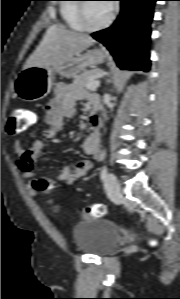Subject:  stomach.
Masks as SVG:
<instances>
[{
  "mask_svg": "<svg viewBox=\"0 0 180 299\" xmlns=\"http://www.w3.org/2000/svg\"><path fill=\"white\" fill-rule=\"evenodd\" d=\"M106 59L100 49L80 52L70 59L52 66H30L23 68L15 79V91L20 99L27 102L38 101L46 97L53 85L56 74L73 78L87 67H95Z\"/></svg>",
  "mask_w": 180,
  "mask_h": 299,
  "instance_id": "obj_1",
  "label": "stomach"
}]
</instances>
